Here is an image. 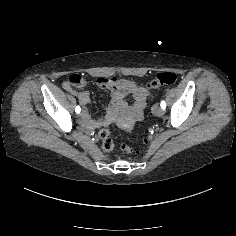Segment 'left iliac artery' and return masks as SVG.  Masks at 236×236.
<instances>
[{"label": "left iliac artery", "instance_id": "44dca946", "mask_svg": "<svg viewBox=\"0 0 236 236\" xmlns=\"http://www.w3.org/2000/svg\"><path fill=\"white\" fill-rule=\"evenodd\" d=\"M160 106H161L162 109H165V108H166V103H165V101H161Z\"/></svg>", "mask_w": 236, "mask_h": 236}]
</instances>
